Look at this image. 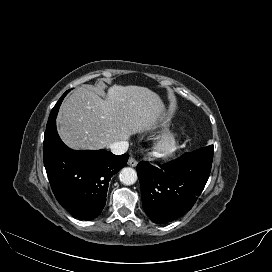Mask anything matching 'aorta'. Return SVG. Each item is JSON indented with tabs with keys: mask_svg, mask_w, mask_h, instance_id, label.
Wrapping results in <instances>:
<instances>
[{
	"mask_svg": "<svg viewBox=\"0 0 272 272\" xmlns=\"http://www.w3.org/2000/svg\"><path fill=\"white\" fill-rule=\"evenodd\" d=\"M120 180L125 185H132L137 181V173L133 168L125 167L120 172Z\"/></svg>",
	"mask_w": 272,
	"mask_h": 272,
	"instance_id": "obj_1",
	"label": "aorta"
}]
</instances>
